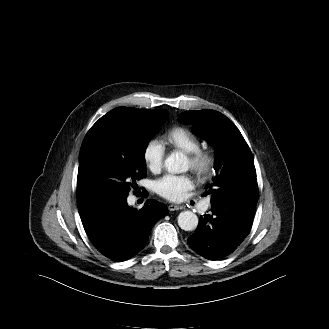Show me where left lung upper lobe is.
<instances>
[{
	"label": "left lung upper lobe",
	"instance_id": "left-lung-upper-lobe-1",
	"mask_svg": "<svg viewBox=\"0 0 329 329\" xmlns=\"http://www.w3.org/2000/svg\"><path fill=\"white\" fill-rule=\"evenodd\" d=\"M183 124L194 125L196 135L216 148V176L206 194L211 200H224L234 188L249 178L254 167L251 150L238 128L225 115L214 110L185 111L178 116Z\"/></svg>",
	"mask_w": 329,
	"mask_h": 329
}]
</instances>
